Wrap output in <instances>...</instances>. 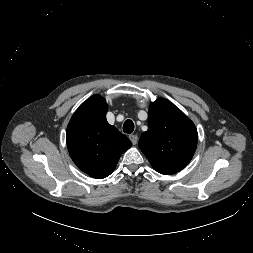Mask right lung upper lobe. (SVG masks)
<instances>
[{"label":"right lung upper lobe","mask_w":253,"mask_h":253,"mask_svg":"<svg viewBox=\"0 0 253 253\" xmlns=\"http://www.w3.org/2000/svg\"><path fill=\"white\" fill-rule=\"evenodd\" d=\"M107 103L92 95L73 114L67 126L69 154L83 172L102 179L110 175L130 140L106 120Z\"/></svg>","instance_id":"cb5924a9"}]
</instances>
